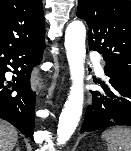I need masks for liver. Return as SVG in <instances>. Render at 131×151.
<instances>
[{"mask_svg": "<svg viewBox=\"0 0 131 151\" xmlns=\"http://www.w3.org/2000/svg\"><path fill=\"white\" fill-rule=\"evenodd\" d=\"M17 140L16 129L9 123L0 120V151H13Z\"/></svg>", "mask_w": 131, "mask_h": 151, "instance_id": "6515ba94", "label": "liver"}]
</instances>
